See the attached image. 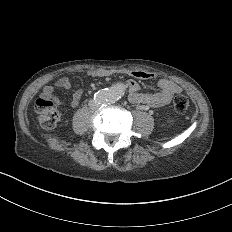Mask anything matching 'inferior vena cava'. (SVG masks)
Wrapping results in <instances>:
<instances>
[{
	"instance_id": "602c4592",
	"label": "inferior vena cava",
	"mask_w": 232,
	"mask_h": 232,
	"mask_svg": "<svg viewBox=\"0 0 232 232\" xmlns=\"http://www.w3.org/2000/svg\"><path fill=\"white\" fill-rule=\"evenodd\" d=\"M88 106H89L90 109L96 110V109L98 108L99 105L95 104V103L93 102V99H92V100L89 101Z\"/></svg>"
}]
</instances>
